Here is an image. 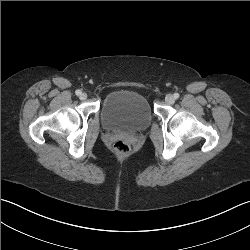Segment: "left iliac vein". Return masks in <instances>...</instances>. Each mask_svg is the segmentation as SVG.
Listing matches in <instances>:
<instances>
[{
	"label": "left iliac vein",
	"instance_id": "obj_1",
	"mask_svg": "<svg viewBox=\"0 0 250 250\" xmlns=\"http://www.w3.org/2000/svg\"><path fill=\"white\" fill-rule=\"evenodd\" d=\"M165 101L168 103V104H173L175 102V98L172 94H167L166 97H165Z\"/></svg>",
	"mask_w": 250,
	"mask_h": 250
}]
</instances>
